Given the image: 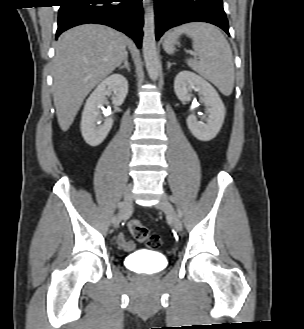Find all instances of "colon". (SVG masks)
Instances as JSON below:
<instances>
[{"mask_svg":"<svg viewBox=\"0 0 304 329\" xmlns=\"http://www.w3.org/2000/svg\"><path fill=\"white\" fill-rule=\"evenodd\" d=\"M128 230L135 240L145 243L149 248H157L161 244V239L157 234H153L138 220H130L127 224Z\"/></svg>","mask_w":304,"mask_h":329,"instance_id":"colon-1","label":"colon"}]
</instances>
